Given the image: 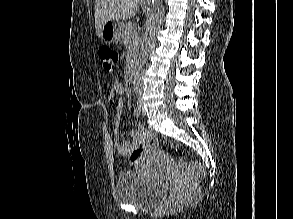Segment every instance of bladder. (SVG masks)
Segmentation results:
<instances>
[{
	"label": "bladder",
	"mask_w": 293,
	"mask_h": 219,
	"mask_svg": "<svg viewBox=\"0 0 293 219\" xmlns=\"http://www.w3.org/2000/svg\"><path fill=\"white\" fill-rule=\"evenodd\" d=\"M167 192L165 186L151 182L135 171L122 172L116 183L117 201L140 209L155 208L164 201Z\"/></svg>",
	"instance_id": "1"
}]
</instances>
